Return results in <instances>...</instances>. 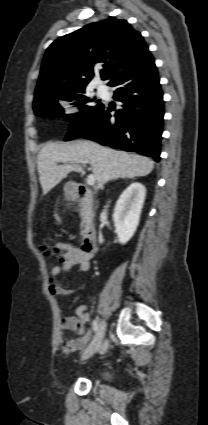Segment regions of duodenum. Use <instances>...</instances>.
Masks as SVG:
<instances>
[{
    "label": "duodenum",
    "mask_w": 208,
    "mask_h": 425,
    "mask_svg": "<svg viewBox=\"0 0 208 425\" xmlns=\"http://www.w3.org/2000/svg\"><path fill=\"white\" fill-rule=\"evenodd\" d=\"M69 191L73 194L74 198L82 204V214L85 225L81 249L86 253H93L97 250V233L94 226V194L88 186L82 183L71 184Z\"/></svg>",
    "instance_id": "410a0bca"
}]
</instances>
